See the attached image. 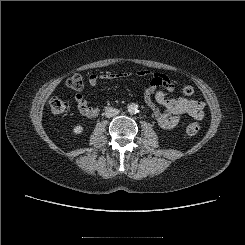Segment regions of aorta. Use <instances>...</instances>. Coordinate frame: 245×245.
<instances>
[{"mask_svg": "<svg viewBox=\"0 0 245 245\" xmlns=\"http://www.w3.org/2000/svg\"><path fill=\"white\" fill-rule=\"evenodd\" d=\"M127 110L131 114H136L139 111L138 105L135 103H131L127 106Z\"/></svg>", "mask_w": 245, "mask_h": 245, "instance_id": "1", "label": "aorta"}]
</instances>
